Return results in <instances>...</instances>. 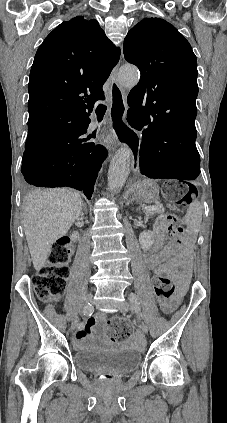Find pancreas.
Returning a JSON list of instances; mask_svg holds the SVG:
<instances>
[{"instance_id": "pancreas-1", "label": "pancreas", "mask_w": 227, "mask_h": 423, "mask_svg": "<svg viewBox=\"0 0 227 423\" xmlns=\"http://www.w3.org/2000/svg\"><path fill=\"white\" fill-rule=\"evenodd\" d=\"M160 211H162L161 208H159V210L151 211V213H160Z\"/></svg>"}]
</instances>
